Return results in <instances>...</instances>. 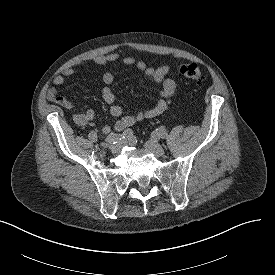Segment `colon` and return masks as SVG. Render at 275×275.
I'll use <instances>...</instances> for the list:
<instances>
[{
    "instance_id": "1",
    "label": "colon",
    "mask_w": 275,
    "mask_h": 275,
    "mask_svg": "<svg viewBox=\"0 0 275 275\" xmlns=\"http://www.w3.org/2000/svg\"><path fill=\"white\" fill-rule=\"evenodd\" d=\"M177 73L193 82L194 84L200 86L204 83L205 76L201 69L196 64H184L178 67Z\"/></svg>"
}]
</instances>
